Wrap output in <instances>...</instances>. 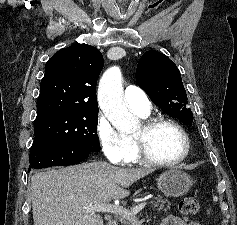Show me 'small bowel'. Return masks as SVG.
Listing matches in <instances>:
<instances>
[{"mask_svg": "<svg viewBox=\"0 0 237 225\" xmlns=\"http://www.w3.org/2000/svg\"><path fill=\"white\" fill-rule=\"evenodd\" d=\"M161 225H200L198 222L193 220H187L178 216L166 217Z\"/></svg>", "mask_w": 237, "mask_h": 225, "instance_id": "c3829d8e", "label": "small bowel"}]
</instances>
